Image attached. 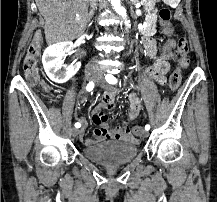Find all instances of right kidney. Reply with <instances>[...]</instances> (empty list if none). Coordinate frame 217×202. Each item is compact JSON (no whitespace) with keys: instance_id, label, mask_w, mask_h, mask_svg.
<instances>
[{"instance_id":"ca27d5eb","label":"right kidney","mask_w":217,"mask_h":202,"mask_svg":"<svg viewBox=\"0 0 217 202\" xmlns=\"http://www.w3.org/2000/svg\"><path fill=\"white\" fill-rule=\"evenodd\" d=\"M70 48H72V42H58V44L46 48L42 56V64L52 82L64 84L78 72V66H74L73 70H68L66 64H63L62 58Z\"/></svg>"}]
</instances>
